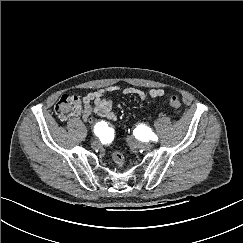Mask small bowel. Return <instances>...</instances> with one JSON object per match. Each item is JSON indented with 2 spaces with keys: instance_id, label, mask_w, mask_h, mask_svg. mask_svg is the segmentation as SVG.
<instances>
[{
  "instance_id": "1",
  "label": "small bowel",
  "mask_w": 243,
  "mask_h": 243,
  "mask_svg": "<svg viewBox=\"0 0 243 243\" xmlns=\"http://www.w3.org/2000/svg\"><path fill=\"white\" fill-rule=\"evenodd\" d=\"M107 92H120L125 95H135L143 103L147 99L146 93L139 89L112 85L86 94L83 98L82 105L74 112L73 116L82 115L85 121H90L91 116L96 114L110 121L115 120L117 115L112 110V100L105 97ZM149 95L152 98L161 99L165 96V91L163 89L155 88L149 91ZM104 135L106 139H110L113 135V131L108 125H105Z\"/></svg>"
}]
</instances>
